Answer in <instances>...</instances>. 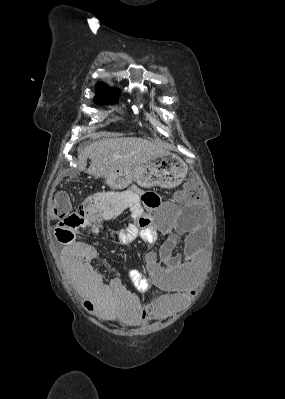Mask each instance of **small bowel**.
Segmentation results:
<instances>
[{"label":"small bowel","instance_id":"small-bowel-1","mask_svg":"<svg viewBox=\"0 0 285 399\" xmlns=\"http://www.w3.org/2000/svg\"><path fill=\"white\" fill-rule=\"evenodd\" d=\"M143 193L130 188L120 193L94 195L82 201L77 209L83 219L80 224H62L63 231H78L88 227L99 233L102 225L131 210L146 219L141 238L153 243L161 232L170 234V239L159 252L145 254V267L150 279L142 276L137 269L130 271V277L143 291H163L150 303L141 302L139 296L126 288L118 277L105 282L94 269L99 264V253L87 241L67 243L61 249V258L73 284L81 293V301L97 317L106 321L120 320L129 324H142L152 319H160L185 306L189 296L195 291L196 280L203 268L204 260L199 231L181 233L179 224L159 226L152 222V213L160 206L149 208L140 203ZM183 203V199H180ZM184 245V253L172 255L173 250Z\"/></svg>","mask_w":285,"mask_h":399}]
</instances>
